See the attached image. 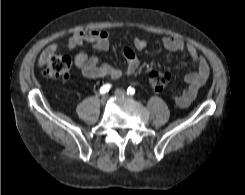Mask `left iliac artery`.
Here are the masks:
<instances>
[{
	"instance_id": "1",
	"label": "left iliac artery",
	"mask_w": 245,
	"mask_h": 195,
	"mask_svg": "<svg viewBox=\"0 0 245 195\" xmlns=\"http://www.w3.org/2000/svg\"><path fill=\"white\" fill-rule=\"evenodd\" d=\"M127 94H128V95H134V94H135V89L132 88V87H129V88L127 89Z\"/></svg>"
}]
</instances>
